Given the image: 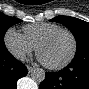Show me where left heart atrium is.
I'll return each mask as SVG.
<instances>
[{
  "label": "left heart atrium",
  "instance_id": "obj_1",
  "mask_svg": "<svg viewBox=\"0 0 89 89\" xmlns=\"http://www.w3.org/2000/svg\"><path fill=\"white\" fill-rule=\"evenodd\" d=\"M38 59H39L40 62L45 63V62L43 61V59L40 57V55L38 56Z\"/></svg>",
  "mask_w": 89,
  "mask_h": 89
}]
</instances>
